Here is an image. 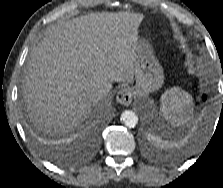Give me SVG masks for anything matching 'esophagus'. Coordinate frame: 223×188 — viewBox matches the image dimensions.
<instances>
[{"instance_id": "obj_1", "label": "esophagus", "mask_w": 223, "mask_h": 188, "mask_svg": "<svg viewBox=\"0 0 223 188\" xmlns=\"http://www.w3.org/2000/svg\"><path fill=\"white\" fill-rule=\"evenodd\" d=\"M132 91L130 88H123L121 89L116 96V101L124 106H129L132 102Z\"/></svg>"}]
</instances>
